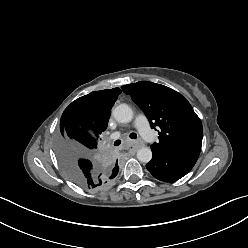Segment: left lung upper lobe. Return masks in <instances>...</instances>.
I'll return each mask as SVG.
<instances>
[{"mask_svg":"<svg viewBox=\"0 0 248 248\" xmlns=\"http://www.w3.org/2000/svg\"><path fill=\"white\" fill-rule=\"evenodd\" d=\"M121 88L146 114L151 127L159 128V142L151 145L152 150H201V120L181 94L149 81H140Z\"/></svg>","mask_w":248,"mask_h":248,"instance_id":"left-lung-upper-lobe-1","label":"left lung upper lobe"}]
</instances>
